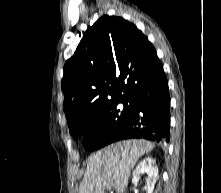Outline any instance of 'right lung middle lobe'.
Returning a JSON list of instances; mask_svg holds the SVG:
<instances>
[{
  "label": "right lung middle lobe",
  "mask_w": 221,
  "mask_h": 193,
  "mask_svg": "<svg viewBox=\"0 0 221 193\" xmlns=\"http://www.w3.org/2000/svg\"><path fill=\"white\" fill-rule=\"evenodd\" d=\"M120 103L123 107L119 106ZM132 112V99H119L101 110L77 119L69 131L75 137L87 133L83 139L84 147L89 151L96 150L107 145L108 140L125 127Z\"/></svg>",
  "instance_id": "dd1d6c3e"
}]
</instances>
